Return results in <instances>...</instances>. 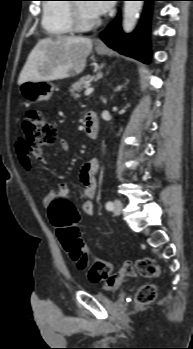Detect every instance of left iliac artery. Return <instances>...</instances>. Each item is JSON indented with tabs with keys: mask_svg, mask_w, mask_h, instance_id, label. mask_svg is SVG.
I'll use <instances>...</instances> for the list:
<instances>
[{
	"mask_svg": "<svg viewBox=\"0 0 193 349\" xmlns=\"http://www.w3.org/2000/svg\"><path fill=\"white\" fill-rule=\"evenodd\" d=\"M113 208H114L113 203H112L111 201H108V202L106 203V209L109 210V211H111V210H113Z\"/></svg>",
	"mask_w": 193,
	"mask_h": 349,
	"instance_id": "44dca946",
	"label": "left iliac artery"
}]
</instances>
